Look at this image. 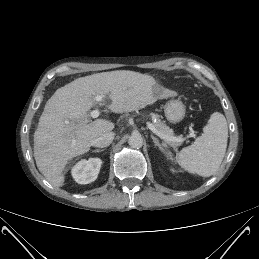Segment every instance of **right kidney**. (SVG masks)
Segmentation results:
<instances>
[{
    "label": "right kidney",
    "instance_id": "obj_1",
    "mask_svg": "<svg viewBox=\"0 0 259 259\" xmlns=\"http://www.w3.org/2000/svg\"><path fill=\"white\" fill-rule=\"evenodd\" d=\"M102 161L99 158L81 160L72 168L74 180L79 184H89L97 179Z\"/></svg>",
    "mask_w": 259,
    "mask_h": 259
}]
</instances>
